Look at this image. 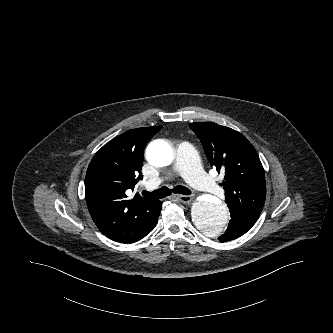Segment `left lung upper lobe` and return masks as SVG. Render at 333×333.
<instances>
[{"mask_svg":"<svg viewBox=\"0 0 333 333\" xmlns=\"http://www.w3.org/2000/svg\"><path fill=\"white\" fill-rule=\"evenodd\" d=\"M211 165L225 173L228 208L259 217L266 197L264 169L252 144L241 133L214 122L189 124Z\"/></svg>","mask_w":333,"mask_h":333,"instance_id":"obj_1","label":"left lung upper lobe"}]
</instances>
